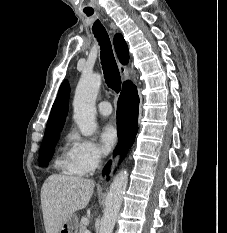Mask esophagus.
Segmentation results:
<instances>
[{
    "label": "esophagus",
    "mask_w": 227,
    "mask_h": 233,
    "mask_svg": "<svg viewBox=\"0 0 227 233\" xmlns=\"http://www.w3.org/2000/svg\"><path fill=\"white\" fill-rule=\"evenodd\" d=\"M118 66H119V70H120V73H121L122 77L124 79H128L129 74H128L127 67L125 65L121 64L120 62L118 63ZM115 163H116V160H114L113 166L115 165Z\"/></svg>",
    "instance_id": "esophagus-1"
}]
</instances>
